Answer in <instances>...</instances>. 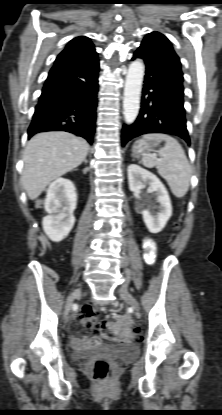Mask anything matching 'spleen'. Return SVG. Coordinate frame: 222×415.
<instances>
[{
	"label": "spleen",
	"mask_w": 222,
	"mask_h": 415,
	"mask_svg": "<svg viewBox=\"0 0 222 415\" xmlns=\"http://www.w3.org/2000/svg\"><path fill=\"white\" fill-rule=\"evenodd\" d=\"M144 140L165 141L164 147L159 150L160 159L153 155L143 154L144 166L156 167L159 174L167 181L172 193L182 198L189 190L191 180V166L186 158L184 149L179 142L166 134H146Z\"/></svg>",
	"instance_id": "obj_1"
}]
</instances>
